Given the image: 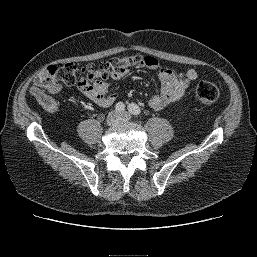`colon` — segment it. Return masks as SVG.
I'll list each match as a JSON object with an SVG mask.
<instances>
[{
  "label": "colon",
  "instance_id": "1",
  "mask_svg": "<svg viewBox=\"0 0 257 257\" xmlns=\"http://www.w3.org/2000/svg\"><path fill=\"white\" fill-rule=\"evenodd\" d=\"M142 62L141 56L130 55L109 59L97 67L79 66L73 62L60 67L49 66L37 76L31 88V94L46 110L54 111L57 103L52 94L58 82L80 87L96 81L104 82L109 76L124 74L131 66L139 65ZM195 96L203 104H212L218 100L219 90L213 83L201 81L196 86Z\"/></svg>",
  "mask_w": 257,
  "mask_h": 257
}]
</instances>
